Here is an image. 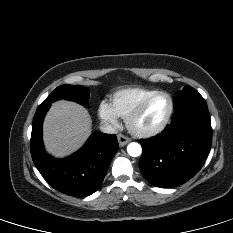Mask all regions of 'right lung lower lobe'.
I'll return each instance as SVG.
<instances>
[{"mask_svg":"<svg viewBox=\"0 0 233 233\" xmlns=\"http://www.w3.org/2000/svg\"><path fill=\"white\" fill-rule=\"evenodd\" d=\"M51 105H39L32 123L30 150L33 162L54 189L76 197L94 193L102 184L118 149L116 135L93 133L85 145L65 159L48 155L42 141V123Z\"/></svg>","mask_w":233,"mask_h":233,"instance_id":"1","label":"right lung lower lobe"}]
</instances>
